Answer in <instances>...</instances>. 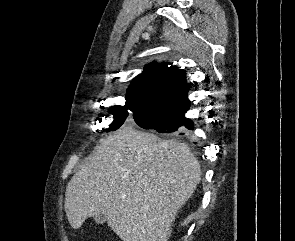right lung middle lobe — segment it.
Instances as JSON below:
<instances>
[{"label": "right lung middle lobe", "instance_id": "obj_1", "mask_svg": "<svg viewBox=\"0 0 295 241\" xmlns=\"http://www.w3.org/2000/svg\"><path fill=\"white\" fill-rule=\"evenodd\" d=\"M109 116L113 118L112 123L104 131L111 132L119 129L132 116L137 125L142 128L164 119L167 115L161 112L146 110L133 104L125 103L124 106H114L109 109Z\"/></svg>", "mask_w": 295, "mask_h": 241}]
</instances>
